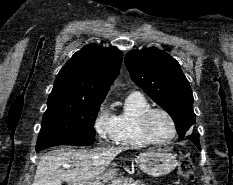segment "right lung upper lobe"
Wrapping results in <instances>:
<instances>
[{
	"mask_svg": "<svg viewBox=\"0 0 233 185\" xmlns=\"http://www.w3.org/2000/svg\"><path fill=\"white\" fill-rule=\"evenodd\" d=\"M122 59L123 54L117 48L88 44L60 70L50 95L104 100L118 76Z\"/></svg>",
	"mask_w": 233,
	"mask_h": 185,
	"instance_id": "right-lung-upper-lobe-1",
	"label": "right lung upper lobe"
}]
</instances>
